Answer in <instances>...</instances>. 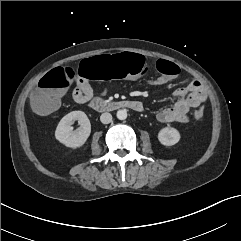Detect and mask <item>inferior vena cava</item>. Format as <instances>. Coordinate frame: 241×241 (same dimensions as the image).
I'll return each mask as SVG.
<instances>
[{
	"label": "inferior vena cava",
	"mask_w": 241,
	"mask_h": 241,
	"mask_svg": "<svg viewBox=\"0 0 241 241\" xmlns=\"http://www.w3.org/2000/svg\"><path fill=\"white\" fill-rule=\"evenodd\" d=\"M100 121L103 124H108L112 121V115L110 113L105 112V113L101 114Z\"/></svg>",
	"instance_id": "602c4592"
}]
</instances>
